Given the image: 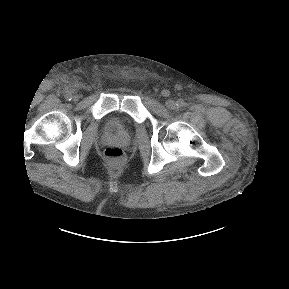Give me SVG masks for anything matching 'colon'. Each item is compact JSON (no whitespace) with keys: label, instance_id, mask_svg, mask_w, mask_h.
I'll list each match as a JSON object with an SVG mask.
<instances>
[{"label":"colon","instance_id":"colon-1","mask_svg":"<svg viewBox=\"0 0 289 289\" xmlns=\"http://www.w3.org/2000/svg\"><path fill=\"white\" fill-rule=\"evenodd\" d=\"M105 159L114 166H120L125 160L124 151L117 146H110L104 150Z\"/></svg>","mask_w":289,"mask_h":289}]
</instances>
